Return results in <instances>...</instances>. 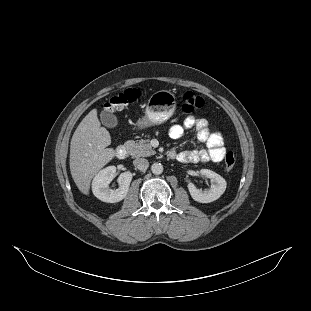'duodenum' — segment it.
<instances>
[{
    "mask_svg": "<svg viewBox=\"0 0 311 311\" xmlns=\"http://www.w3.org/2000/svg\"><path fill=\"white\" fill-rule=\"evenodd\" d=\"M127 154H128V149L125 145H119L115 150V155L119 159H124L127 156ZM169 156L173 158L174 154L170 152Z\"/></svg>",
    "mask_w": 311,
    "mask_h": 311,
    "instance_id": "410a0bca",
    "label": "duodenum"
}]
</instances>
